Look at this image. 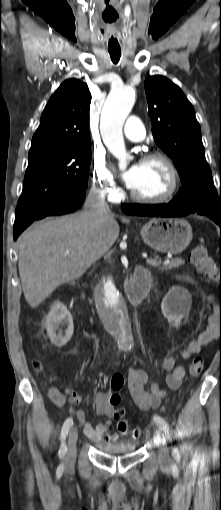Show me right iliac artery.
I'll use <instances>...</instances> for the list:
<instances>
[{
    "label": "right iliac artery",
    "mask_w": 221,
    "mask_h": 510,
    "mask_svg": "<svg viewBox=\"0 0 221 510\" xmlns=\"http://www.w3.org/2000/svg\"><path fill=\"white\" fill-rule=\"evenodd\" d=\"M73 425V419L72 418H68L66 419V421L64 422L63 426H62V430H61V439H62V443H61V447L59 449V456L60 457H63L66 452H67V446L65 444V438L69 432V429L70 427Z\"/></svg>",
    "instance_id": "1"
}]
</instances>
